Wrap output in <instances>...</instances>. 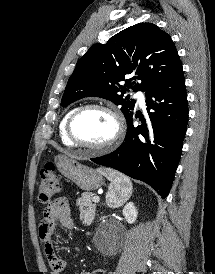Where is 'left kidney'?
I'll list each match as a JSON object with an SVG mask.
<instances>
[{"mask_svg": "<svg viewBox=\"0 0 215 274\" xmlns=\"http://www.w3.org/2000/svg\"><path fill=\"white\" fill-rule=\"evenodd\" d=\"M122 212H123V215H124L126 221L129 224L135 223V221L137 219L138 212H137V209H136V207L134 206V204L132 202L125 205Z\"/></svg>", "mask_w": 215, "mask_h": 274, "instance_id": "1", "label": "left kidney"}]
</instances>
